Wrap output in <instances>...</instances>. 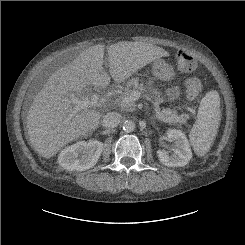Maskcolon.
I'll use <instances>...</instances> for the list:
<instances>
[{
    "label": "colon",
    "mask_w": 245,
    "mask_h": 245,
    "mask_svg": "<svg viewBox=\"0 0 245 245\" xmlns=\"http://www.w3.org/2000/svg\"><path fill=\"white\" fill-rule=\"evenodd\" d=\"M176 66L181 72H192L196 68V59L188 49H179L176 52ZM202 89V82L198 78H188L184 82L186 97L191 101L196 100L200 96Z\"/></svg>",
    "instance_id": "1"
}]
</instances>
